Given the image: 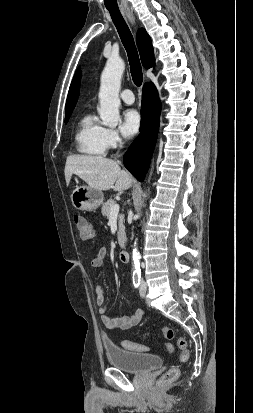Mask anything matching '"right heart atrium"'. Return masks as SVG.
<instances>
[{"label":"right heart atrium","mask_w":253,"mask_h":413,"mask_svg":"<svg viewBox=\"0 0 253 413\" xmlns=\"http://www.w3.org/2000/svg\"><path fill=\"white\" fill-rule=\"evenodd\" d=\"M104 143L106 149H115L121 145L122 140L115 129L105 128Z\"/></svg>","instance_id":"obj_1"}]
</instances>
